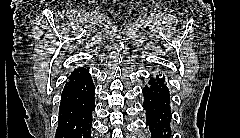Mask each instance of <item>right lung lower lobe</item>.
<instances>
[{
	"label": "right lung lower lobe",
	"instance_id": "right-lung-lower-lobe-1",
	"mask_svg": "<svg viewBox=\"0 0 240 138\" xmlns=\"http://www.w3.org/2000/svg\"><path fill=\"white\" fill-rule=\"evenodd\" d=\"M95 86L90 74L66 83L55 138H91Z\"/></svg>",
	"mask_w": 240,
	"mask_h": 138
}]
</instances>
